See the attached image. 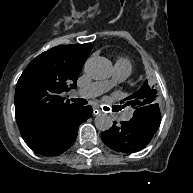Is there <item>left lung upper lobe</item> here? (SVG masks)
Returning <instances> with one entry per match:
<instances>
[{
	"label": "left lung upper lobe",
	"mask_w": 193,
	"mask_h": 193,
	"mask_svg": "<svg viewBox=\"0 0 193 193\" xmlns=\"http://www.w3.org/2000/svg\"><path fill=\"white\" fill-rule=\"evenodd\" d=\"M124 101H127L125 105H131L134 109L157 104V91L151 88L148 82L145 81L136 93L127 97Z\"/></svg>",
	"instance_id": "obj_1"
}]
</instances>
